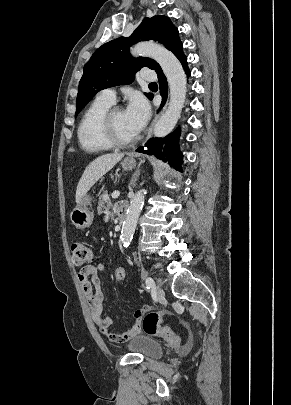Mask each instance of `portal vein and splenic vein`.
<instances>
[{
    "label": "portal vein and splenic vein",
    "mask_w": 291,
    "mask_h": 405,
    "mask_svg": "<svg viewBox=\"0 0 291 405\" xmlns=\"http://www.w3.org/2000/svg\"><path fill=\"white\" fill-rule=\"evenodd\" d=\"M119 195H120V192H119L118 190H115V191L112 193V198H113V199H116V198L119 197Z\"/></svg>",
    "instance_id": "1"
}]
</instances>
